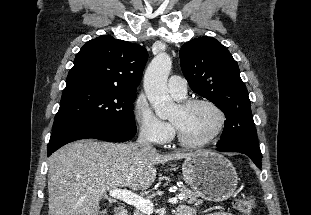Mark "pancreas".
Instances as JSON below:
<instances>
[{"label": "pancreas", "mask_w": 311, "mask_h": 215, "mask_svg": "<svg viewBox=\"0 0 311 215\" xmlns=\"http://www.w3.org/2000/svg\"><path fill=\"white\" fill-rule=\"evenodd\" d=\"M179 192L184 202H187L188 204L194 203L195 206L202 204V200L198 199V195L185 186H180ZM134 215H144V213L137 210L134 212Z\"/></svg>", "instance_id": "1"}]
</instances>
